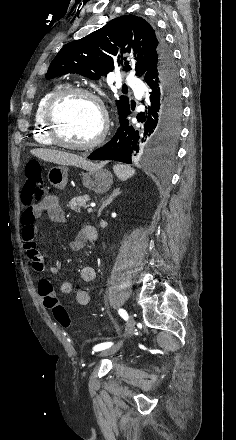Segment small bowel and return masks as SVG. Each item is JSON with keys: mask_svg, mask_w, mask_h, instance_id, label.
Instances as JSON below:
<instances>
[{"mask_svg": "<svg viewBox=\"0 0 236 440\" xmlns=\"http://www.w3.org/2000/svg\"><path fill=\"white\" fill-rule=\"evenodd\" d=\"M46 214L49 219L55 223H64L65 214L60 204L58 197L54 195L46 196L37 204L26 207L21 218V242L26 251L34 272L43 273L46 268L43 264V258L39 250L36 248L35 237L37 235L36 220L42 215ZM97 238V231L90 225H83L71 242L70 247L74 251L81 250L87 242H93ZM61 267L60 261H55L48 267L51 274H57ZM80 277L85 282H91L94 279V270L92 267L85 266L80 271ZM61 292L67 296H74L77 303L80 305H87L90 303L91 296L86 290H76L74 285L69 282H63L61 285ZM43 305L49 308L44 297H42Z\"/></svg>", "mask_w": 236, "mask_h": 440, "instance_id": "c3829d8e", "label": "small bowel"}]
</instances>
